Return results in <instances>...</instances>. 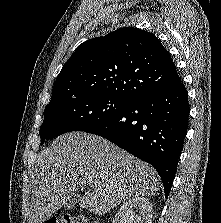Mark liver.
Returning a JSON list of instances; mask_svg holds the SVG:
<instances>
[{
	"instance_id": "obj_1",
	"label": "liver",
	"mask_w": 221,
	"mask_h": 223,
	"mask_svg": "<svg viewBox=\"0 0 221 223\" xmlns=\"http://www.w3.org/2000/svg\"><path fill=\"white\" fill-rule=\"evenodd\" d=\"M159 181L152 166L108 140L70 132L38 154L29 223L45 222L67 205L80 184L90 189L79 198V206L102 215L128 199L155 194Z\"/></svg>"
}]
</instances>
